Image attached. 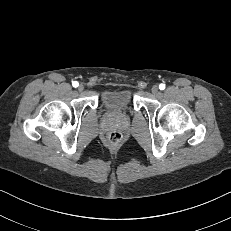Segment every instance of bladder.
<instances>
[{
    "mask_svg": "<svg viewBox=\"0 0 231 231\" xmlns=\"http://www.w3.org/2000/svg\"><path fill=\"white\" fill-rule=\"evenodd\" d=\"M132 101V94L127 89L108 90L102 93L101 102L108 110H121L127 108Z\"/></svg>",
    "mask_w": 231,
    "mask_h": 231,
    "instance_id": "bladder-1",
    "label": "bladder"
}]
</instances>
